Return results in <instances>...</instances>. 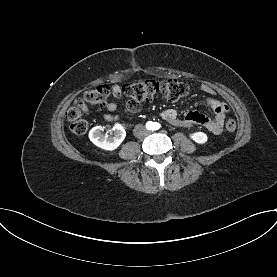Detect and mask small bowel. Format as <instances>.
Listing matches in <instances>:
<instances>
[{"instance_id":"small-bowel-1","label":"small bowel","mask_w":277,"mask_h":277,"mask_svg":"<svg viewBox=\"0 0 277 277\" xmlns=\"http://www.w3.org/2000/svg\"><path fill=\"white\" fill-rule=\"evenodd\" d=\"M200 88L209 96L207 97L206 101L199 102V104L209 107L214 112V119H211L200 112L193 111L186 114L184 119L181 120L178 118L177 112L173 109L164 110L160 116L163 120L173 125L188 127L200 126L207 129L209 132L218 135L223 131L225 113L228 111L229 107L224 101L216 98V92L210 85L202 84ZM111 90L114 97H122V88L119 85L114 84ZM126 108L130 113H137L141 109L139 103L133 102L131 100L127 101ZM106 109L110 113L104 114L103 117L105 120L117 121L119 119L117 115L112 114L117 109V105L114 102L107 103Z\"/></svg>"}]
</instances>
